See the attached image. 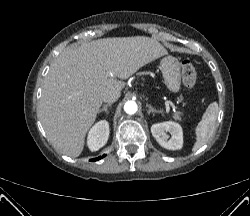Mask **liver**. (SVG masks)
Masks as SVG:
<instances>
[{"label":"liver","mask_w":250,"mask_h":216,"mask_svg":"<svg viewBox=\"0 0 250 216\" xmlns=\"http://www.w3.org/2000/svg\"><path fill=\"white\" fill-rule=\"evenodd\" d=\"M166 54L157 40L145 36L103 38L66 48L50 67L38 108L49 141L66 155L79 156L103 93L122 90L125 82L119 79Z\"/></svg>","instance_id":"liver-1"}]
</instances>
